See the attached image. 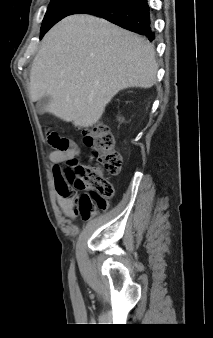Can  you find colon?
<instances>
[{
	"label": "colon",
	"instance_id": "colon-1",
	"mask_svg": "<svg viewBox=\"0 0 213 338\" xmlns=\"http://www.w3.org/2000/svg\"><path fill=\"white\" fill-rule=\"evenodd\" d=\"M85 144L92 149L91 157L97 164L85 166L76 158L66 159L61 168L55 167L53 177L58 191L71 188L75 191H87L85 195L91 201L81 210L85 218L104 211L105 199L114 196V186L109 180L119 174L122 158L115 148L113 136L102 124H97L82 131ZM69 147L66 138L61 139L57 148L65 151ZM95 203V204H94Z\"/></svg>",
	"mask_w": 213,
	"mask_h": 338
}]
</instances>
